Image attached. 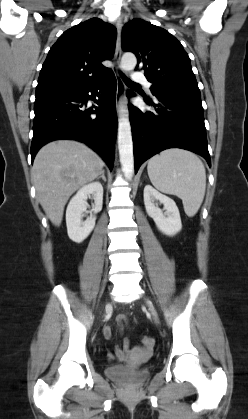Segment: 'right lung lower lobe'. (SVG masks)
I'll use <instances>...</instances> for the list:
<instances>
[{"instance_id": "obj_1", "label": "right lung lower lobe", "mask_w": 248, "mask_h": 419, "mask_svg": "<svg viewBox=\"0 0 248 419\" xmlns=\"http://www.w3.org/2000/svg\"><path fill=\"white\" fill-rule=\"evenodd\" d=\"M116 87V78L111 70L101 80L88 86L36 95L32 161L46 143L74 139L90 146L112 169L117 130ZM88 100H93L98 106L87 108Z\"/></svg>"}]
</instances>
